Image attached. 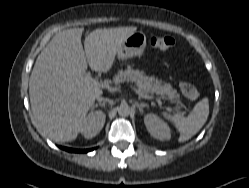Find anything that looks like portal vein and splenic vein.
Returning a JSON list of instances; mask_svg holds the SVG:
<instances>
[{"label": "portal vein and splenic vein", "mask_w": 249, "mask_h": 188, "mask_svg": "<svg viewBox=\"0 0 249 188\" xmlns=\"http://www.w3.org/2000/svg\"><path fill=\"white\" fill-rule=\"evenodd\" d=\"M84 81H85V83H87V84H91V85H94V86L99 87V88H100V87H102V88H107V85H106L105 83H103V82H98V81L94 80V79L92 78V76H91L90 73H87V74L85 75ZM131 87L133 88V90H134L140 97L145 98V99H148V100H152V99H153L152 96H149V95H147V94H144L140 89H137V88H135V87H133V86H131Z\"/></svg>", "instance_id": "1"}]
</instances>
